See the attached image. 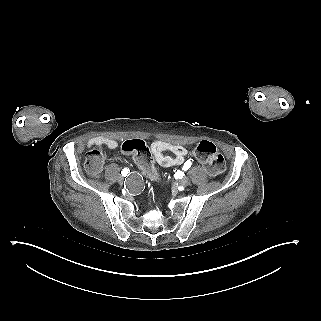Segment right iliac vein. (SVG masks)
I'll return each instance as SVG.
<instances>
[{
    "label": "right iliac vein",
    "mask_w": 321,
    "mask_h": 321,
    "mask_svg": "<svg viewBox=\"0 0 321 321\" xmlns=\"http://www.w3.org/2000/svg\"><path fill=\"white\" fill-rule=\"evenodd\" d=\"M117 181H118L119 184H123V182H124V177L121 176V175H119V176L117 177Z\"/></svg>",
    "instance_id": "63e3f726"
}]
</instances>
